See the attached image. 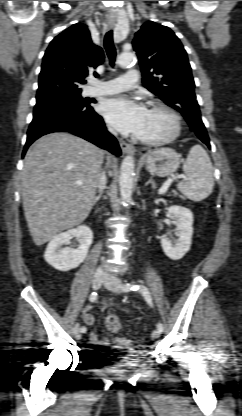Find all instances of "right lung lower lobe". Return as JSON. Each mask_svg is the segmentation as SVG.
I'll return each instance as SVG.
<instances>
[{
  "label": "right lung lower lobe",
  "mask_w": 242,
  "mask_h": 416,
  "mask_svg": "<svg viewBox=\"0 0 242 416\" xmlns=\"http://www.w3.org/2000/svg\"><path fill=\"white\" fill-rule=\"evenodd\" d=\"M93 101L73 103L65 100H44L34 107L23 156L39 137L52 132H70L82 137L116 156L121 155L117 140L111 135L100 115L91 106Z\"/></svg>",
  "instance_id": "98d812e1"
}]
</instances>
